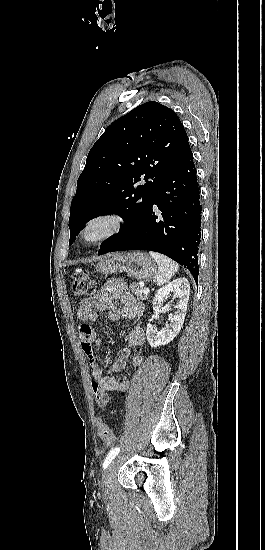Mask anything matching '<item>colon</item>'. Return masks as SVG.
I'll list each match as a JSON object with an SVG mask.
<instances>
[{
    "label": "colon",
    "mask_w": 265,
    "mask_h": 550,
    "mask_svg": "<svg viewBox=\"0 0 265 550\" xmlns=\"http://www.w3.org/2000/svg\"><path fill=\"white\" fill-rule=\"evenodd\" d=\"M69 282L71 292L75 297L90 295L96 290L95 279L83 269H74L69 273ZM93 393L96 403L100 407H106L109 402V396L94 385ZM98 435L105 444H111L114 441V435L109 425L102 419L96 422Z\"/></svg>",
    "instance_id": "1"
}]
</instances>
